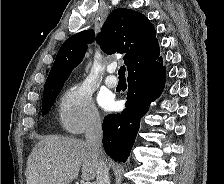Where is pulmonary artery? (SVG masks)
Segmentation results:
<instances>
[{"label":"pulmonary artery","instance_id":"1","mask_svg":"<svg viewBox=\"0 0 224 184\" xmlns=\"http://www.w3.org/2000/svg\"><path fill=\"white\" fill-rule=\"evenodd\" d=\"M115 71V66L114 65H110L108 67V72H109V75L105 78V84L107 87L109 88H114L117 86L118 84V80L117 78L112 75V73Z\"/></svg>","mask_w":224,"mask_h":184}]
</instances>
